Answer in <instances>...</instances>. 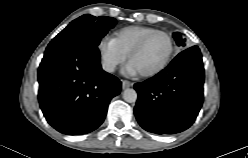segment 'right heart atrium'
Wrapping results in <instances>:
<instances>
[{
  "mask_svg": "<svg viewBox=\"0 0 248 158\" xmlns=\"http://www.w3.org/2000/svg\"><path fill=\"white\" fill-rule=\"evenodd\" d=\"M98 53L103 69L113 72L123 64L127 56L119 49L112 39L103 38L98 43Z\"/></svg>",
  "mask_w": 248,
  "mask_h": 158,
  "instance_id": "d8ad5b80",
  "label": "right heart atrium"
}]
</instances>
